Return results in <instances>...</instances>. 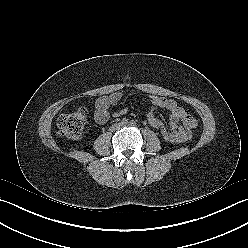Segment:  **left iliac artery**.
<instances>
[{"instance_id": "left-iliac-artery-1", "label": "left iliac artery", "mask_w": 248, "mask_h": 248, "mask_svg": "<svg viewBox=\"0 0 248 248\" xmlns=\"http://www.w3.org/2000/svg\"><path fill=\"white\" fill-rule=\"evenodd\" d=\"M130 124H131L132 126H134L136 123H135V121L132 120V121L130 122Z\"/></svg>"}]
</instances>
